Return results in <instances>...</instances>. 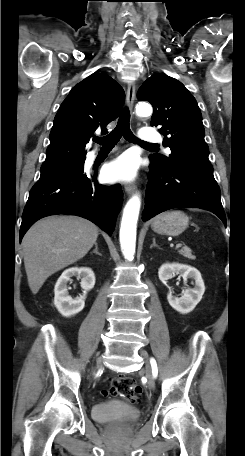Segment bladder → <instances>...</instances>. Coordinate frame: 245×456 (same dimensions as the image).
Listing matches in <instances>:
<instances>
[{"label": "bladder", "mask_w": 245, "mask_h": 456, "mask_svg": "<svg viewBox=\"0 0 245 456\" xmlns=\"http://www.w3.org/2000/svg\"><path fill=\"white\" fill-rule=\"evenodd\" d=\"M91 413L92 418L100 423L133 422L140 416L137 407L117 400L97 403L93 406Z\"/></svg>", "instance_id": "bladder-1"}]
</instances>
